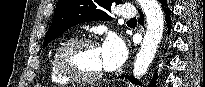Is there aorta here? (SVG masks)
I'll use <instances>...</instances> for the list:
<instances>
[{
	"instance_id": "obj_1",
	"label": "aorta",
	"mask_w": 205,
	"mask_h": 87,
	"mask_svg": "<svg viewBox=\"0 0 205 87\" xmlns=\"http://www.w3.org/2000/svg\"><path fill=\"white\" fill-rule=\"evenodd\" d=\"M147 21V31L142 46L136 56L133 74L139 78L143 76L150 66L164 29V15L158 0H139Z\"/></svg>"
}]
</instances>
